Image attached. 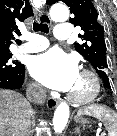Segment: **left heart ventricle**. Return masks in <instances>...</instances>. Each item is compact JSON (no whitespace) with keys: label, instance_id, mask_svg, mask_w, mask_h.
<instances>
[{"label":"left heart ventricle","instance_id":"left-heart-ventricle-1","mask_svg":"<svg viewBox=\"0 0 117 136\" xmlns=\"http://www.w3.org/2000/svg\"><path fill=\"white\" fill-rule=\"evenodd\" d=\"M90 91H91V83L89 79L79 74L70 92L77 96H86L90 93Z\"/></svg>","mask_w":117,"mask_h":136}]
</instances>
